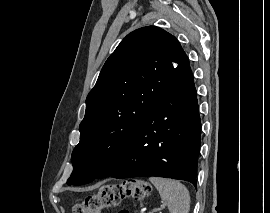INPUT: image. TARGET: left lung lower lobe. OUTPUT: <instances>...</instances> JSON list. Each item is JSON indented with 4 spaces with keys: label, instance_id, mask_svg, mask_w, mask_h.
Returning <instances> with one entry per match:
<instances>
[{
    "label": "left lung lower lobe",
    "instance_id": "left-lung-lower-lobe-1",
    "mask_svg": "<svg viewBox=\"0 0 270 213\" xmlns=\"http://www.w3.org/2000/svg\"><path fill=\"white\" fill-rule=\"evenodd\" d=\"M201 121L191 68L184 70L98 178L157 176L195 187Z\"/></svg>",
    "mask_w": 270,
    "mask_h": 213
}]
</instances>
